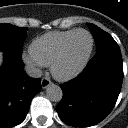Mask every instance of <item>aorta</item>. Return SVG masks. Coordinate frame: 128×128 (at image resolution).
<instances>
[{"label":"aorta","mask_w":128,"mask_h":128,"mask_svg":"<svg viewBox=\"0 0 128 128\" xmlns=\"http://www.w3.org/2000/svg\"><path fill=\"white\" fill-rule=\"evenodd\" d=\"M46 97L53 102L61 101L63 97L62 89L55 84L48 85L46 88Z\"/></svg>","instance_id":"aorta-1"}]
</instances>
